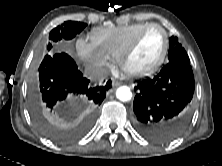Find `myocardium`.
<instances>
[{
  "instance_id": "f54148a6",
  "label": "myocardium",
  "mask_w": 222,
  "mask_h": 166,
  "mask_svg": "<svg viewBox=\"0 0 222 166\" xmlns=\"http://www.w3.org/2000/svg\"><path fill=\"white\" fill-rule=\"evenodd\" d=\"M152 28L159 29L163 33V36H164V45H163V49H162V52H161L158 60L151 67L144 69V70L129 69L127 67V59L133 53V51L135 50V48L139 44V42L142 39V37L144 36V34ZM169 43H170V39H169V34H168L167 30L162 25H160L158 23H149L148 25L143 27L133 37V39L128 43V45L121 52V54L118 57L119 66L122 69V71L129 76H133V77L149 76V75L155 73L156 71H158L159 68L163 65L164 61L166 60L167 54H168Z\"/></svg>"
}]
</instances>
